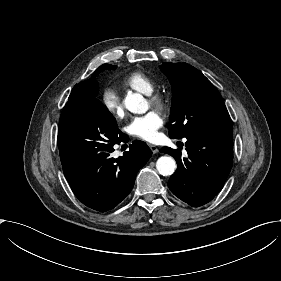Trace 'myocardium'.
<instances>
[{"instance_id":"1","label":"myocardium","mask_w":281,"mask_h":281,"mask_svg":"<svg viewBox=\"0 0 281 281\" xmlns=\"http://www.w3.org/2000/svg\"><path fill=\"white\" fill-rule=\"evenodd\" d=\"M148 101L151 106H154L159 109H163L165 106L163 98L159 95H154L150 97Z\"/></svg>"}]
</instances>
